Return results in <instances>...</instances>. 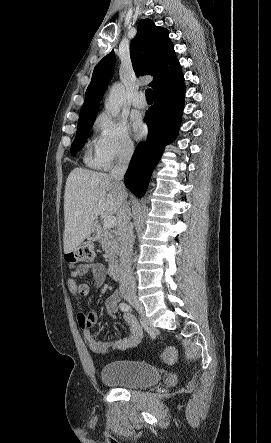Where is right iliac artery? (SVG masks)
<instances>
[{
	"label": "right iliac artery",
	"mask_w": 271,
	"mask_h": 443,
	"mask_svg": "<svg viewBox=\"0 0 271 443\" xmlns=\"http://www.w3.org/2000/svg\"><path fill=\"white\" fill-rule=\"evenodd\" d=\"M119 307H120V309L122 311H125V312L126 311H132L131 306L128 303H125V302L120 303Z\"/></svg>",
	"instance_id": "1"
}]
</instances>
